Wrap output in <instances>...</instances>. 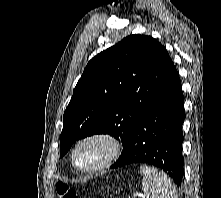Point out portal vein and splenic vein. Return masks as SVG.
Wrapping results in <instances>:
<instances>
[{
	"mask_svg": "<svg viewBox=\"0 0 221 198\" xmlns=\"http://www.w3.org/2000/svg\"><path fill=\"white\" fill-rule=\"evenodd\" d=\"M134 197H135V198H136V197L145 198L143 195L140 196L139 194H135Z\"/></svg>",
	"mask_w": 221,
	"mask_h": 198,
	"instance_id": "1",
	"label": "portal vein and splenic vein"
}]
</instances>
